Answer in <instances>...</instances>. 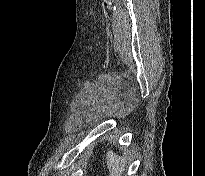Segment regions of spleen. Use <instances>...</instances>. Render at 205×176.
<instances>
[{
	"label": "spleen",
	"instance_id": "1",
	"mask_svg": "<svg viewBox=\"0 0 205 176\" xmlns=\"http://www.w3.org/2000/svg\"><path fill=\"white\" fill-rule=\"evenodd\" d=\"M107 167L111 176H121L125 171V158L109 151L107 153Z\"/></svg>",
	"mask_w": 205,
	"mask_h": 176
}]
</instances>
